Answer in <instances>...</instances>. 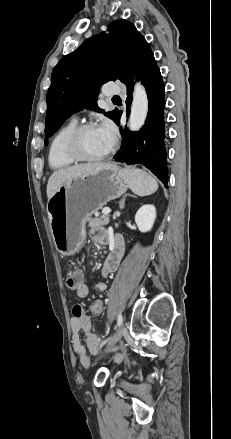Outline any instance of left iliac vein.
Masks as SVG:
<instances>
[{
    "instance_id": "obj_1",
    "label": "left iliac vein",
    "mask_w": 231,
    "mask_h": 439,
    "mask_svg": "<svg viewBox=\"0 0 231 439\" xmlns=\"http://www.w3.org/2000/svg\"><path fill=\"white\" fill-rule=\"evenodd\" d=\"M125 332H126V328H125V326H124V325H121L120 328H119V330L117 331V333L114 335V337L112 338V340L109 342V344H108V346H107V348H106L104 354L107 353V352H109V351L114 347V345H115L117 342L120 341V339H121L122 336L125 334Z\"/></svg>"
}]
</instances>
